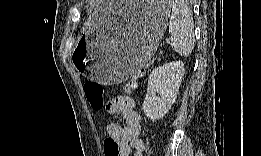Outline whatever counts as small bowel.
<instances>
[{"label": "small bowel", "instance_id": "small-bowel-1", "mask_svg": "<svg viewBox=\"0 0 261 156\" xmlns=\"http://www.w3.org/2000/svg\"><path fill=\"white\" fill-rule=\"evenodd\" d=\"M106 110L109 115L106 132L118 142L122 151L121 156H129L133 150L135 155H142L145 145L140 138L142 125L135 110L134 100L128 96H117L107 103ZM118 117L125 121V125L115 121Z\"/></svg>", "mask_w": 261, "mask_h": 156}]
</instances>
